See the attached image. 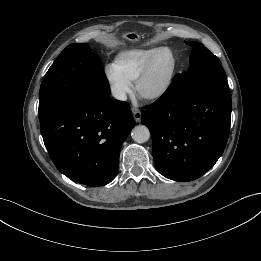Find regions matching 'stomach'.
<instances>
[{
	"label": "stomach",
	"instance_id": "obj_1",
	"mask_svg": "<svg viewBox=\"0 0 261 261\" xmlns=\"http://www.w3.org/2000/svg\"><path fill=\"white\" fill-rule=\"evenodd\" d=\"M122 38L129 41V42H136L139 37L135 32H127L122 35Z\"/></svg>",
	"mask_w": 261,
	"mask_h": 261
}]
</instances>
